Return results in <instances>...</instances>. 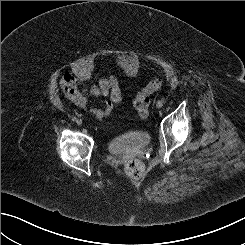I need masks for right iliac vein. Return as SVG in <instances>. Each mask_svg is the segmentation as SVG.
I'll list each match as a JSON object with an SVG mask.
<instances>
[{
	"mask_svg": "<svg viewBox=\"0 0 245 245\" xmlns=\"http://www.w3.org/2000/svg\"><path fill=\"white\" fill-rule=\"evenodd\" d=\"M76 123H77L78 125H81V124H82V120H81V119H78V120L76 121Z\"/></svg>",
	"mask_w": 245,
	"mask_h": 245,
	"instance_id": "right-iliac-vein-1",
	"label": "right iliac vein"
}]
</instances>
